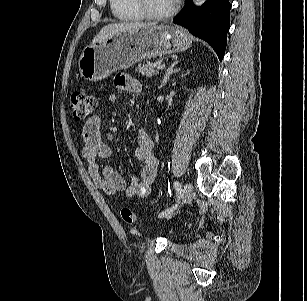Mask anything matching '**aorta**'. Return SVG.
I'll return each mask as SVG.
<instances>
[{"label":"aorta","instance_id":"aorta-1","mask_svg":"<svg viewBox=\"0 0 307 301\" xmlns=\"http://www.w3.org/2000/svg\"><path fill=\"white\" fill-rule=\"evenodd\" d=\"M194 1V4L199 6L201 4H203L205 2V0H193Z\"/></svg>","mask_w":307,"mask_h":301}]
</instances>
